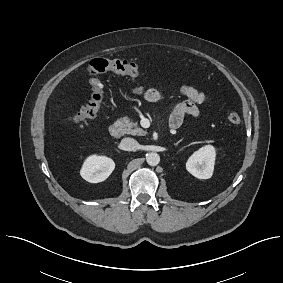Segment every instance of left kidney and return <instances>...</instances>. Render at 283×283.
Returning <instances> with one entry per match:
<instances>
[{
  "label": "left kidney",
  "mask_w": 283,
  "mask_h": 283,
  "mask_svg": "<svg viewBox=\"0 0 283 283\" xmlns=\"http://www.w3.org/2000/svg\"><path fill=\"white\" fill-rule=\"evenodd\" d=\"M215 158V148L206 145L189 157L186 162V169L196 178L209 179L213 175Z\"/></svg>",
  "instance_id": "left-kidney-1"
}]
</instances>
